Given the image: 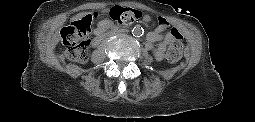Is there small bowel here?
<instances>
[{
  "instance_id": "obj_1",
  "label": "small bowel",
  "mask_w": 255,
  "mask_h": 122,
  "mask_svg": "<svg viewBox=\"0 0 255 122\" xmlns=\"http://www.w3.org/2000/svg\"><path fill=\"white\" fill-rule=\"evenodd\" d=\"M145 21H150V18L146 17ZM158 23V27L148 33L145 48L148 51H152L157 60H161L164 57L167 46L173 43L176 38L172 30L164 33L168 27V22L165 19L159 18ZM154 43H158L157 47H154Z\"/></svg>"
}]
</instances>
